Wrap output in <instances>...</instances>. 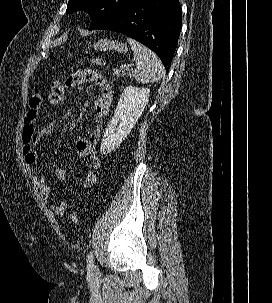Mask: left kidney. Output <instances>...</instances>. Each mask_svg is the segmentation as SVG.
Listing matches in <instances>:
<instances>
[{"label": "left kidney", "mask_w": 272, "mask_h": 303, "mask_svg": "<svg viewBox=\"0 0 272 303\" xmlns=\"http://www.w3.org/2000/svg\"><path fill=\"white\" fill-rule=\"evenodd\" d=\"M150 90L144 87L127 86L116 107L114 116L105 129L100 151L108 154L114 151L127 137L142 115Z\"/></svg>", "instance_id": "1"}]
</instances>
